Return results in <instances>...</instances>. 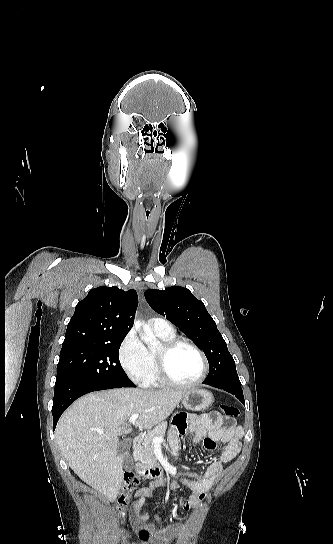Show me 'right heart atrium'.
Returning <instances> with one entry per match:
<instances>
[{"instance_id":"right-heart-atrium-1","label":"right heart atrium","mask_w":333,"mask_h":544,"mask_svg":"<svg viewBox=\"0 0 333 544\" xmlns=\"http://www.w3.org/2000/svg\"><path fill=\"white\" fill-rule=\"evenodd\" d=\"M118 359L128 378L142 384L148 369L147 348L134 330H130L122 340Z\"/></svg>"}]
</instances>
